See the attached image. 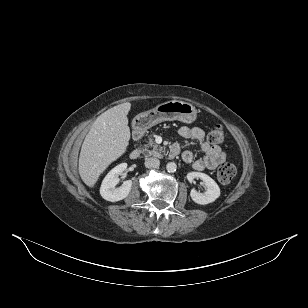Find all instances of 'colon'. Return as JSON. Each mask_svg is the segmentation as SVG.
I'll list each match as a JSON object with an SVG mask.
<instances>
[{"instance_id":"colon-1","label":"colon","mask_w":308,"mask_h":308,"mask_svg":"<svg viewBox=\"0 0 308 308\" xmlns=\"http://www.w3.org/2000/svg\"><path fill=\"white\" fill-rule=\"evenodd\" d=\"M226 138L225 131L222 126L216 125L214 126L209 134L208 140L210 143L219 144L222 143ZM236 174V168L231 163H223L220 165L217 171V177L220 182L228 183L230 182Z\"/></svg>"}]
</instances>
